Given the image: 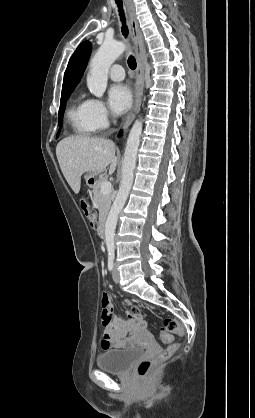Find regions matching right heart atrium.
Wrapping results in <instances>:
<instances>
[{
	"label": "right heart atrium",
	"mask_w": 255,
	"mask_h": 418,
	"mask_svg": "<svg viewBox=\"0 0 255 418\" xmlns=\"http://www.w3.org/2000/svg\"><path fill=\"white\" fill-rule=\"evenodd\" d=\"M89 119L94 130H103L110 123V115L105 104L99 99L88 100Z\"/></svg>",
	"instance_id": "right-heart-atrium-1"
}]
</instances>
